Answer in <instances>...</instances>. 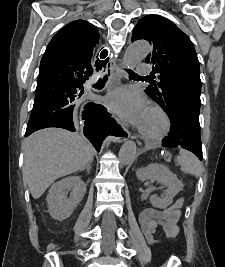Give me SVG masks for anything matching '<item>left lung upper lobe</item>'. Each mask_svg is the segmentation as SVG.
Instances as JSON below:
<instances>
[{"mask_svg":"<svg viewBox=\"0 0 225 267\" xmlns=\"http://www.w3.org/2000/svg\"><path fill=\"white\" fill-rule=\"evenodd\" d=\"M139 39L151 44L152 52L145 61L153 65V74H158L159 79L145 92L170 117L182 96H200V67L195 48L174 23L158 15H147L138 21L132 42Z\"/></svg>","mask_w":225,"mask_h":267,"instance_id":"left-lung-upper-lobe-1","label":"left lung upper lobe"}]
</instances>
